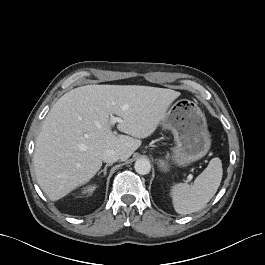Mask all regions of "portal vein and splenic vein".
I'll use <instances>...</instances> for the list:
<instances>
[{"instance_id":"18ae733b","label":"portal vein and splenic vein","mask_w":265,"mask_h":265,"mask_svg":"<svg viewBox=\"0 0 265 265\" xmlns=\"http://www.w3.org/2000/svg\"><path fill=\"white\" fill-rule=\"evenodd\" d=\"M123 120L119 117L111 116L110 117V123L114 125L115 123H122ZM192 179V177H189V181Z\"/></svg>"}]
</instances>
